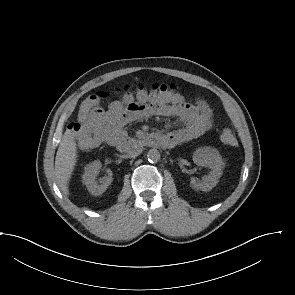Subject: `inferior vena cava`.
<instances>
[{
    "mask_svg": "<svg viewBox=\"0 0 295 295\" xmlns=\"http://www.w3.org/2000/svg\"><path fill=\"white\" fill-rule=\"evenodd\" d=\"M143 151V147L139 146V145H136V146H133L131 149H129L128 151V156L130 158H135L137 157L139 154H141Z\"/></svg>",
    "mask_w": 295,
    "mask_h": 295,
    "instance_id": "1",
    "label": "inferior vena cava"
}]
</instances>
